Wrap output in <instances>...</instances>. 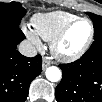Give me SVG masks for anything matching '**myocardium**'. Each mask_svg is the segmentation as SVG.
Masks as SVG:
<instances>
[{
    "instance_id": "myocardium-1",
    "label": "myocardium",
    "mask_w": 102,
    "mask_h": 102,
    "mask_svg": "<svg viewBox=\"0 0 102 102\" xmlns=\"http://www.w3.org/2000/svg\"><path fill=\"white\" fill-rule=\"evenodd\" d=\"M79 22H86L88 24L89 28V35L84 44L73 54H63L59 47L61 43L64 41V39L68 36L70 31L73 29V27L79 23ZM93 40V29L91 22L86 18H77L74 21H72L70 24H68L64 29H62L52 40L50 43V49L52 54L59 60L63 62H73L77 59H79L89 48L90 44Z\"/></svg>"
}]
</instances>
